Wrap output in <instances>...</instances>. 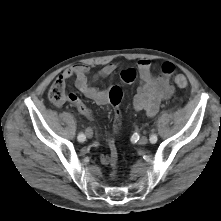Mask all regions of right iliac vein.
<instances>
[{
  "label": "right iliac vein",
  "instance_id": "1",
  "mask_svg": "<svg viewBox=\"0 0 221 221\" xmlns=\"http://www.w3.org/2000/svg\"><path fill=\"white\" fill-rule=\"evenodd\" d=\"M86 136H87L88 138H92V137H93V131H92L91 128H87V129H86Z\"/></svg>",
  "mask_w": 221,
  "mask_h": 221
}]
</instances>
